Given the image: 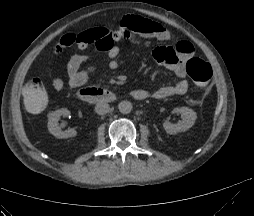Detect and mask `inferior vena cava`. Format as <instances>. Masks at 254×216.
I'll use <instances>...</instances> for the list:
<instances>
[{"instance_id": "obj_1", "label": "inferior vena cava", "mask_w": 254, "mask_h": 216, "mask_svg": "<svg viewBox=\"0 0 254 216\" xmlns=\"http://www.w3.org/2000/svg\"><path fill=\"white\" fill-rule=\"evenodd\" d=\"M110 106L104 101H100L95 106V112L99 115H103L109 112Z\"/></svg>"}]
</instances>
